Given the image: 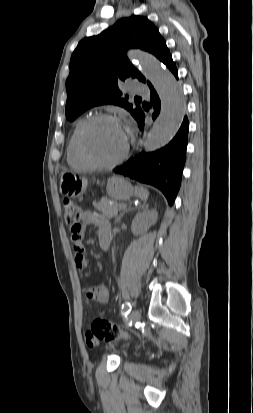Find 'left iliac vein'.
Here are the masks:
<instances>
[{
  "label": "left iliac vein",
  "instance_id": "obj_1",
  "mask_svg": "<svg viewBox=\"0 0 253 413\" xmlns=\"http://www.w3.org/2000/svg\"><path fill=\"white\" fill-rule=\"evenodd\" d=\"M141 319V312L140 310L136 309L133 310L132 313L130 314V320L133 323H137Z\"/></svg>",
  "mask_w": 253,
  "mask_h": 413
}]
</instances>
